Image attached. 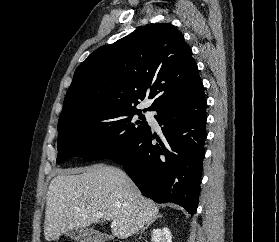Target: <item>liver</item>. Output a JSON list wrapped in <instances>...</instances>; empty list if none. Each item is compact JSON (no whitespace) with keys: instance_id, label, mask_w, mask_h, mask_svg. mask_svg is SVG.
<instances>
[{"instance_id":"6515ba94","label":"liver","mask_w":279,"mask_h":242,"mask_svg":"<svg viewBox=\"0 0 279 242\" xmlns=\"http://www.w3.org/2000/svg\"><path fill=\"white\" fill-rule=\"evenodd\" d=\"M158 211L119 168L99 164L61 170L48 188L44 235L52 241L75 228L115 221L113 236L126 239L154 220Z\"/></svg>"}]
</instances>
